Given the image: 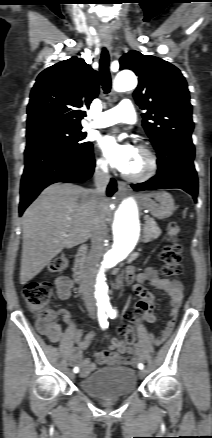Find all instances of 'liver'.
Listing matches in <instances>:
<instances>
[{
    "instance_id": "liver-1",
    "label": "liver",
    "mask_w": 212,
    "mask_h": 438,
    "mask_svg": "<svg viewBox=\"0 0 212 438\" xmlns=\"http://www.w3.org/2000/svg\"><path fill=\"white\" fill-rule=\"evenodd\" d=\"M108 206L105 200L104 221ZM96 212L92 190L70 183L48 186L23 214L20 283L33 279L64 248L90 238Z\"/></svg>"
}]
</instances>
